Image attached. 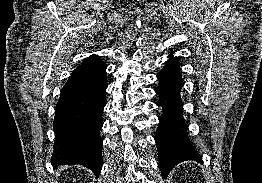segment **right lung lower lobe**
<instances>
[{"label":"right lung lower lobe","mask_w":262,"mask_h":183,"mask_svg":"<svg viewBox=\"0 0 262 183\" xmlns=\"http://www.w3.org/2000/svg\"><path fill=\"white\" fill-rule=\"evenodd\" d=\"M106 67L103 61L83 62L63 87L54 117L51 163L81 164L96 175L100 173Z\"/></svg>","instance_id":"1"}]
</instances>
